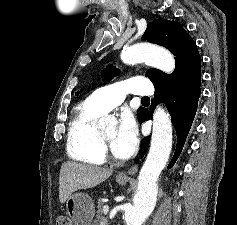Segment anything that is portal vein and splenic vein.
Instances as JSON below:
<instances>
[{
	"label": "portal vein and splenic vein",
	"instance_id": "18ae733b",
	"mask_svg": "<svg viewBox=\"0 0 237 225\" xmlns=\"http://www.w3.org/2000/svg\"><path fill=\"white\" fill-rule=\"evenodd\" d=\"M103 212H104V214H107L109 212V205L103 206Z\"/></svg>",
	"mask_w": 237,
	"mask_h": 225
}]
</instances>
